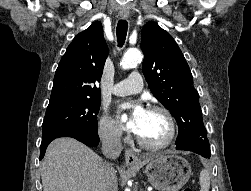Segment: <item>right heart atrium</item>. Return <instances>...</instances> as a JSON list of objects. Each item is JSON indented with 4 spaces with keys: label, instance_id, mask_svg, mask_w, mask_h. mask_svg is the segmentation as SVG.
I'll list each match as a JSON object with an SVG mask.
<instances>
[{
    "label": "right heart atrium",
    "instance_id": "obj_1",
    "mask_svg": "<svg viewBox=\"0 0 251 191\" xmlns=\"http://www.w3.org/2000/svg\"><path fill=\"white\" fill-rule=\"evenodd\" d=\"M97 134L100 140L108 145H118L123 140L121 128L106 114H103L98 121Z\"/></svg>",
    "mask_w": 251,
    "mask_h": 191
}]
</instances>
